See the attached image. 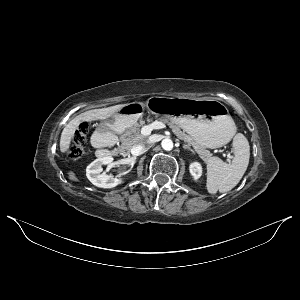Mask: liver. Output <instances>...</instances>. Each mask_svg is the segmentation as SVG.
Wrapping results in <instances>:
<instances>
[{
	"instance_id": "obj_1",
	"label": "liver",
	"mask_w": 300,
	"mask_h": 300,
	"mask_svg": "<svg viewBox=\"0 0 300 300\" xmlns=\"http://www.w3.org/2000/svg\"><path fill=\"white\" fill-rule=\"evenodd\" d=\"M123 105H115L107 108L93 109L81 113L72 119L63 129L60 138V151L66 153L70 147L71 140L74 137L75 130L78 128L79 124L83 121L92 122L95 120H104L111 117L118 109Z\"/></svg>"
}]
</instances>
